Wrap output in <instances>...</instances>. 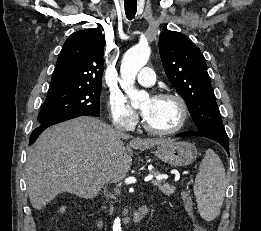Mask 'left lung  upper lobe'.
Segmentation results:
<instances>
[{
	"mask_svg": "<svg viewBox=\"0 0 261 231\" xmlns=\"http://www.w3.org/2000/svg\"><path fill=\"white\" fill-rule=\"evenodd\" d=\"M159 51L165 73L185 100L198 130L207 138L228 140L199 48L186 35L165 28Z\"/></svg>",
	"mask_w": 261,
	"mask_h": 231,
	"instance_id": "1",
	"label": "left lung upper lobe"
}]
</instances>
